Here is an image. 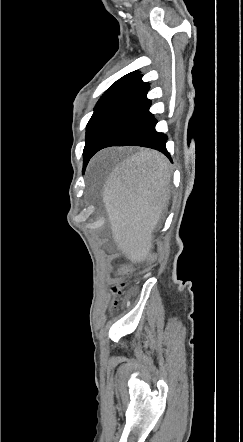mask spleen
Segmentation results:
<instances>
[{"label": "spleen", "instance_id": "spleen-1", "mask_svg": "<svg viewBox=\"0 0 243 442\" xmlns=\"http://www.w3.org/2000/svg\"><path fill=\"white\" fill-rule=\"evenodd\" d=\"M166 168L163 156L143 150L123 161L112 178L105 180L110 189L106 194L109 224L119 240L135 244V253L147 252V245L142 243L149 241L155 219L162 214L161 202L166 199L165 193L135 192H165L162 176Z\"/></svg>", "mask_w": 243, "mask_h": 442}]
</instances>
